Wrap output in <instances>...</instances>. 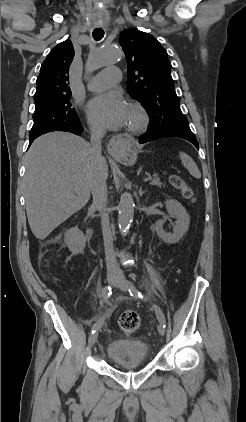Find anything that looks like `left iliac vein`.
Returning <instances> with one entry per match:
<instances>
[{"label":"left iliac vein","mask_w":246,"mask_h":422,"mask_svg":"<svg viewBox=\"0 0 246 422\" xmlns=\"http://www.w3.org/2000/svg\"><path fill=\"white\" fill-rule=\"evenodd\" d=\"M129 285H130L129 282L126 280L124 275L119 274L118 277H117V280L115 282V286L118 287L119 289H121L122 291H128ZM158 332L161 336H164L165 329H164V325L162 323H160L158 325Z\"/></svg>","instance_id":"1"}]
</instances>
